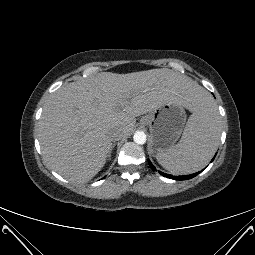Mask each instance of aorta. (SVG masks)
Wrapping results in <instances>:
<instances>
[{
  "instance_id": "aorta-1",
  "label": "aorta",
  "mask_w": 255,
  "mask_h": 255,
  "mask_svg": "<svg viewBox=\"0 0 255 255\" xmlns=\"http://www.w3.org/2000/svg\"><path fill=\"white\" fill-rule=\"evenodd\" d=\"M133 140L136 144L143 145L147 140L146 134L143 131H136Z\"/></svg>"
}]
</instances>
